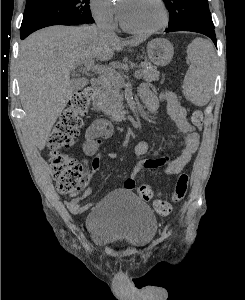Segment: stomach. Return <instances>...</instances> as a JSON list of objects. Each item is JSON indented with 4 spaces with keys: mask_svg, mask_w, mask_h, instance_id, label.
<instances>
[{
    "mask_svg": "<svg viewBox=\"0 0 245 300\" xmlns=\"http://www.w3.org/2000/svg\"><path fill=\"white\" fill-rule=\"evenodd\" d=\"M147 54L153 64L165 66L171 61L174 48L168 40L158 38L148 43Z\"/></svg>",
    "mask_w": 245,
    "mask_h": 300,
    "instance_id": "stomach-1",
    "label": "stomach"
}]
</instances>
